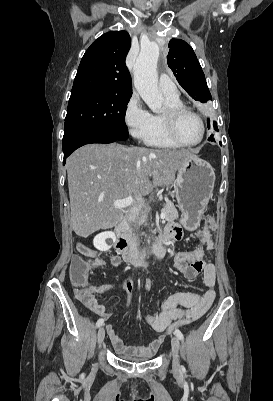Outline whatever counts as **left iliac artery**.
Segmentation results:
<instances>
[{
    "label": "left iliac artery",
    "mask_w": 273,
    "mask_h": 401,
    "mask_svg": "<svg viewBox=\"0 0 273 401\" xmlns=\"http://www.w3.org/2000/svg\"><path fill=\"white\" fill-rule=\"evenodd\" d=\"M174 334L178 337V339L183 340L184 337L180 330L176 329Z\"/></svg>",
    "instance_id": "44dca946"
}]
</instances>
